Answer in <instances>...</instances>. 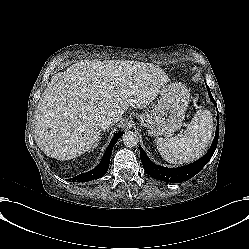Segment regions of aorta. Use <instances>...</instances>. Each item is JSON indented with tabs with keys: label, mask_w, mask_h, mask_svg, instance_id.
Here are the masks:
<instances>
[{
	"label": "aorta",
	"mask_w": 249,
	"mask_h": 249,
	"mask_svg": "<svg viewBox=\"0 0 249 249\" xmlns=\"http://www.w3.org/2000/svg\"><path fill=\"white\" fill-rule=\"evenodd\" d=\"M123 144L126 147L132 148L138 144V136L133 131H126L122 136Z\"/></svg>",
	"instance_id": "aorta-1"
}]
</instances>
